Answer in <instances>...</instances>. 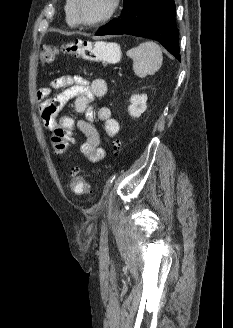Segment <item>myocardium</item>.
<instances>
[{"label": "myocardium", "mask_w": 233, "mask_h": 328, "mask_svg": "<svg viewBox=\"0 0 233 328\" xmlns=\"http://www.w3.org/2000/svg\"><path fill=\"white\" fill-rule=\"evenodd\" d=\"M79 4L80 0H74V14L78 25L85 27H98L102 24H105L114 17L120 7V0H111L108 12L102 18L94 22H87L81 18L79 12Z\"/></svg>", "instance_id": "obj_1"}]
</instances>
